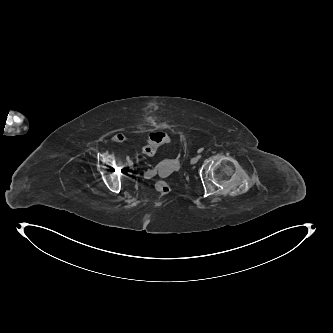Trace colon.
Segmentation results:
<instances>
[{
    "label": "colon",
    "mask_w": 333,
    "mask_h": 333,
    "mask_svg": "<svg viewBox=\"0 0 333 333\" xmlns=\"http://www.w3.org/2000/svg\"><path fill=\"white\" fill-rule=\"evenodd\" d=\"M171 141H172V138L167 133L162 132V131H155L150 134L149 140H148L147 144L145 145V147L143 148V153H144V155H146L148 157H152V156H154V154L156 153L157 149L160 146H162L164 144H168ZM154 173L156 174L157 170H155ZM155 190H156L158 196L161 198V197L167 196L170 193L171 188L167 182L158 181L155 184Z\"/></svg>",
    "instance_id": "obj_1"
}]
</instances>
